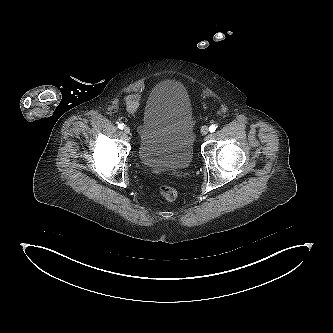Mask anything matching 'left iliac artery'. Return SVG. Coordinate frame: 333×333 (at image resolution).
I'll use <instances>...</instances> for the list:
<instances>
[{
  "label": "left iliac artery",
  "mask_w": 333,
  "mask_h": 333,
  "mask_svg": "<svg viewBox=\"0 0 333 333\" xmlns=\"http://www.w3.org/2000/svg\"><path fill=\"white\" fill-rule=\"evenodd\" d=\"M217 126L215 124H212L210 127H209V131L210 132H214L216 130Z\"/></svg>",
  "instance_id": "obj_1"
}]
</instances>
